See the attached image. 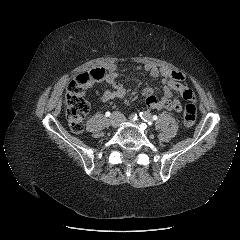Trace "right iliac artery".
<instances>
[{
    "mask_svg": "<svg viewBox=\"0 0 240 240\" xmlns=\"http://www.w3.org/2000/svg\"><path fill=\"white\" fill-rule=\"evenodd\" d=\"M137 114L136 113H132L130 116H129V119L131 120V121H136L137 120Z\"/></svg>",
    "mask_w": 240,
    "mask_h": 240,
    "instance_id": "82829eb1",
    "label": "right iliac artery"
}]
</instances>
